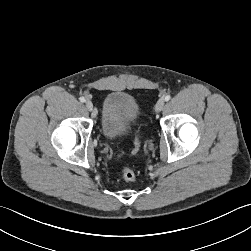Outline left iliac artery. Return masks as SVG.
Returning a JSON list of instances; mask_svg holds the SVG:
<instances>
[{
    "label": "left iliac artery",
    "instance_id": "obj_1",
    "mask_svg": "<svg viewBox=\"0 0 251 251\" xmlns=\"http://www.w3.org/2000/svg\"><path fill=\"white\" fill-rule=\"evenodd\" d=\"M171 99V96L170 95H166L165 96V101H169Z\"/></svg>",
    "mask_w": 251,
    "mask_h": 251
}]
</instances>
